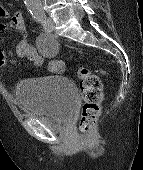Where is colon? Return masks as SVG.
I'll use <instances>...</instances> for the list:
<instances>
[{
  "label": "colon",
  "mask_w": 143,
  "mask_h": 170,
  "mask_svg": "<svg viewBox=\"0 0 143 170\" xmlns=\"http://www.w3.org/2000/svg\"><path fill=\"white\" fill-rule=\"evenodd\" d=\"M64 67L63 62L59 63L56 67L57 72H62ZM78 76L80 78V92L84 101L81 113L80 130L82 134H86L100 115L103 89L99 77L93 74L88 68L79 69Z\"/></svg>",
  "instance_id": "1"
}]
</instances>
